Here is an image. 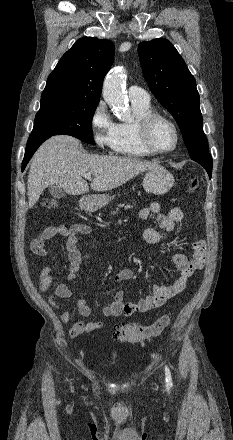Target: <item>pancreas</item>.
Returning <instances> with one entry per match:
<instances>
[{"instance_id": "cf45deb5", "label": "pancreas", "mask_w": 233, "mask_h": 440, "mask_svg": "<svg viewBox=\"0 0 233 440\" xmlns=\"http://www.w3.org/2000/svg\"><path fill=\"white\" fill-rule=\"evenodd\" d=\"M122 207H124L127 210V209H131L133 206L129 205V204L128 205L120 204V205H118L116 211L111 212V214L115 215L119 211V208H122Z\"/></svg>"}]
</instances>
